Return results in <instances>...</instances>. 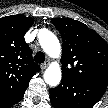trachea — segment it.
Returning <instances> with one entry per match:
<instances>
[{"mask_svg":"<svg viewBox=\"0 0 108 108\" xmlns=\"http://www.w3.org/2000/svg\"><path fill=\"white\" fill-rule=\"evenodd\" d=\"M34 59H35L36 63H39V64L43 63L45 61V55H44L43 52L39 51V52L36 53Z\"/></svg>","mask_w":108,"mask_h":108,"instance_id":"1","label":"trachea"}]
</instances>
